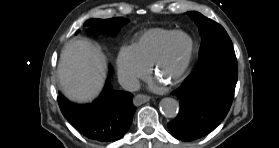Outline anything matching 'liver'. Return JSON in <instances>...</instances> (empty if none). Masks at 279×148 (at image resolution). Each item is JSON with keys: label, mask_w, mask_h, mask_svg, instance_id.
Listing matches in <instances>:
<instances>
[{"label": "liver", "mask_w": 279, "mask_h": 148, "mask_svg": "<svg viewBox=\"0 0 279 148\" xmlns=\"http://www.w3.org/2000/svg\"><path fill=\"white\" fill-rule=\"evenodd\" d=\"M60 85L68 98L91 101L106 77V59L98 46L84 40L69 41L58 65Z\"/></svg>", "instance_id": "liver-1"}]
</instances>
